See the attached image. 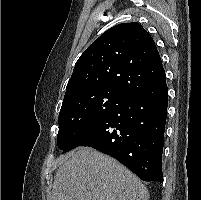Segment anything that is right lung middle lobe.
I'll return each mask as SVG.
<instances>
[{
  "mask_svg": "<svg viewBox=\"0 0 201 200\" xmlns=\"http://www.w3.org/2000/svg\"><path fill=\"white\" fill-rule=\"evenodd\" d=\"M127 98L116 91L96 90L63 100L58 119V147L64 150L80 132L120 106Z\"/></svg>",
  "mask_w": 201,
  "mask_h": 200,
  "instance_id": "obj_1",
  "label": "right lung middle lobe"
}]
</instances>
